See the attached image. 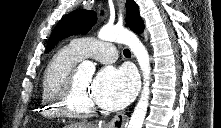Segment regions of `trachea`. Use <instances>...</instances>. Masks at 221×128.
Masks as SVG:
<instances>
[{
    "mask_svg": "<svg viewBox=\"0 0 221 128\" xmlns=\"http://www.w3.org/2000/svg\"><path fill=\"white\" fill-rule=\"evenodd\" d=\"M123 53H124L125 56H130V55H131L129 49H125V50L123 51Z\"/></svg>",
    "mask_w": 221,
    "mask_h": 128,
    "instance_id": "trachea-1",
    "label": "trachea"
}]
</instances>
